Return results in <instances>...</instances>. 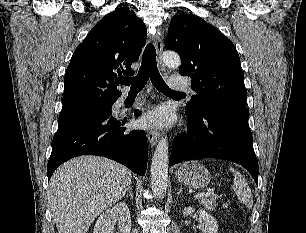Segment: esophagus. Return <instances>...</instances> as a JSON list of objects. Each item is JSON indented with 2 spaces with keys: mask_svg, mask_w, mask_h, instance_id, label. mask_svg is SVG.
I'll use <instances>...</instances> for the list:
<instances>
[{
  "mask_svg": "<svg viewBox=\"0 0 306 233\" xmlns=\"http://www.w3.org/2000/svg\"><path fill=\"white\" fill-rule=\"evenodd\" d=\"M152 40L154 42V45H155V48H156V51H157V55H158L159 69L161 70L162 73L165 74L166 73V68H165L164 64L162 63V51H163L162 38H161L159 33H156L152 37ZM147 138H148V141H149L150 145L152 147H154L157 144V142L160 138V133L157 130L150 129L147 132Z\"/></svg>",
  "mask_w": 306,
  "mask_h": 233,
  "instance_id": "obj_1",
  "label": "esophagus"
}]
</instances>
